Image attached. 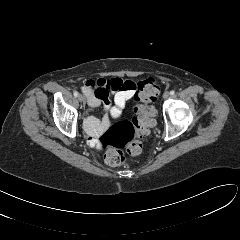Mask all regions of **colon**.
Wrapping results in <instances>:
<instances>
[{
  "instance_id": "obj_1",
  "label": "colon",
  "mask_w": 240,
  "mask_h": 240,
  "mask_svg": "<svg viewBox=\"0 0 240 240\" xmlns=\"http://www.w3.org/2000/svg\"><path fill=\"white\" fill-rule=\"evenodd\" d=\"M135 90L137 105L132 119L114 124L98 139L104 159L111 166L125 162L124 150L130 155H138L142 150L140 139L155 125L153 102L159 94V84L155 79L147 78L137 82Z\"/></svg>"
}]
</instances>
